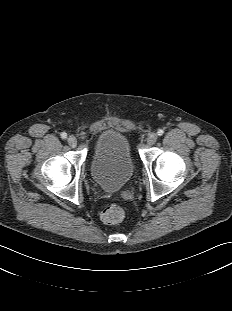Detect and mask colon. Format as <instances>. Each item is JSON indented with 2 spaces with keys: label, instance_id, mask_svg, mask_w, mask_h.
Instances as JSON below:
<instances>
[{
  "label": "colon",
  "instance_id": "obj_1",
  "mask_svg": "<svg viewBox=\"0 0 232 311\" xmlns=\"http://www.w3.org/2000/svg\"><path fill=\"white\" fill-rule=\"evenodd\" d=\"M125 211L122 206L112 204L106 207L101 213V219L110 225L118 224L124 218Z\"/></svg>",
  "mask_w": 232,
  "mask_h": 311
}]
</instances>
